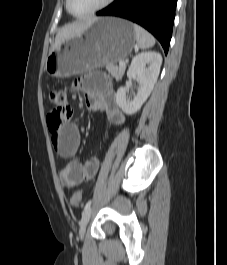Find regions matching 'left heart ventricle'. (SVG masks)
Returning <instances> with one entry per match:
<instances>
[{"instance_id":"left-heart-ventricle-1","label":"left heart ventricle","mask_w":227,"mask_h":265,"mask_svg":"<svg viewBox=\"0 0 227 265\" xmlns=\"http://www.w3.org/2000/svg\"><path fill=\"white\" fill-rule=\"evenodd\" d=\"M104 0H70L71 10L76 14H83L100 5Z\"/></svg>"}]
</instances>
